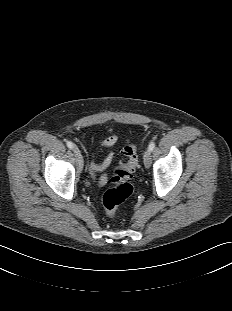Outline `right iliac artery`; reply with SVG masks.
Listing matches in <instances>:
<instances>
[{
    "label": "right iliac artery",
    "instance_id": "obj_1",
    "mask_svg": "<svg viewBox=\"0 0 232 311\" xmlns=\"http://www.w3.org/2000/svg\"><path fill=\"white\" fill-rule=\"evenodd\" d=\"M66 144H67L68 148H70V149L75 148V145L71 141H67Z\"/></svg>",
    "mask_w": 232,
    "mask_h": 311
}]
</instances>
